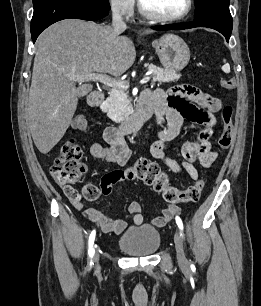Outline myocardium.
<instances>
[{"mask_svg":"<svg viewBox=\"0 0 261 306\" xmlns=\"http://www.w3.org/2000/svg\"><path fill=\"white\" fill-rule=\"evenodd\" d=\"M138 7L142 15L147 17L148 19L160 21V22H175L184 19L187 17L192 8H193V0H187L186 8L184 11L175 16H164L161 15L152 9L148 8L142 0H138Z\"/></svg>","mask_w":261,"mask_h":306,"instance_id":"f54148a6","label":"myocardium"}]
</instances>
